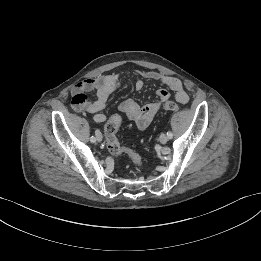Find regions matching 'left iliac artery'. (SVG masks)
Here are the masks:
<instances>
[{
  "mask_svg": "<svg viewBox=\"0 0 261 261\" xmlns=\"http://www.w3.org/2000/svg\"><path fill=\"white\" fill-rule=\"evenodd\" d=\"M167 136H168L169 139H171V138H173V133L171 131H168Z\"/></svg>",
  "mask_w": 261,
  "mask_h": 261,
  "instance_id": "left-iliac-artery-1",
  "label": "left iliac artery"
}]
</instances>
